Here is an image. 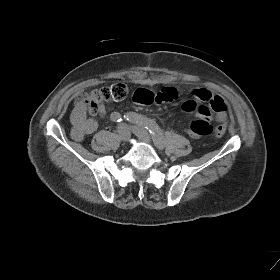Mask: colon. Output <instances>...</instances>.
I'll return each instance as SVG.
<instances>
[{
	"label": "colon",
	"instance_id": "colon-1",
	"mask_svg": "<svg viewBox=\"0 0 280 280\" xmlns=\"http://www.w3.org/2000/svg\"><path fill=\"white\" fill-rule=\"evenodd\" d=\"M127 92L128 90L125 84L114 83L110 86L79 95L75 100V104L76 106L88 110L90 113H96L102 103L120 101L126 97ZM188 129L197 137L209 136L212 134L221 135L225 131V129L220 126H212L208 120L204 119L191 122Z\"/></svg>",
	"mask_w": 280,
	"mask_h": 280
}]
</instances>
